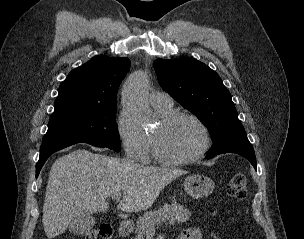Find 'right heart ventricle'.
<instances>
[{"label":"right heart ventricle","instance_id":"obj_1","mask_svg":"<svg viewBox=\"0 0 304 239\" xmlns=\"http://www.w3.org/2000/svg\"><path fill=\"white\" fill-rule=\"evenodd\" d=\"M153 107L161 118L174 112L173 106H153ZM149 137L151 140V136H149ZM151 142H152V140H151Z\"/></svg>","mask_w":304,"mask_h":239}]
</instances>
